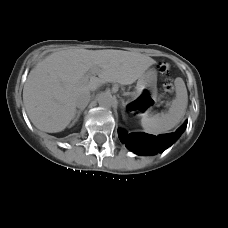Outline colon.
Instances as JSON below:
<instances>
[{
    "mask_svg": "<svg viewBox=\"0 0 228 228\" xmlns=\"http://www.w3.org/2000/svg\"><path fill=\"white\" fill-rule=\"evenodd\" d=\"M160 72L163 73V74H168L169 71H170V64L169 63H166V62H163L160 64ZM173 89H174V86H173V83L172 82H169L165 85V92L167 94H171L173 92Z\"/></svg>",
    "mask_w": 228,
    "mask_h": 228,
    "instance_id": "colon-1",
    "label": "colon"
}]
</instances>
